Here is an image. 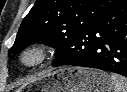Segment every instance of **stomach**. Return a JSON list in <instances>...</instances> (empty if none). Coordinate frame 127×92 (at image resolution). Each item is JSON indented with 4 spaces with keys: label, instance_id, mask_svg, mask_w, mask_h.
<instances>
[{
    "label": "stomach",
    "instance_id": "obj_1",
    "mask_svg": "<svg viewBox=\"0 0 127 92\" xmlns=\"http://www.w3.org/2000/svg\"><path fill=\"white\" fill-rule=\"evenodd\" d=\"M41 92H111L113 83L106 73L83 67H64L37 81Z\"/></svg>",
    "mask_w": 127,
    "mask_h": 92
}]
</instances>
